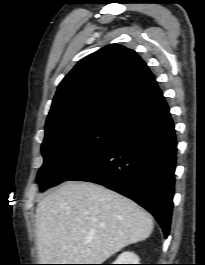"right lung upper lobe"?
Instances as JSON below:
<instances>
[{
  "label": "right lung upper lobe",
  "mask_w": 205,
  "mask_h": 265,
  "mask_svg": "<svg viewBox=\"0 0 205 265\" xmlns=\"http://www.w3.org/2000/svg\"><path fill=\"white\" fill-rule=\"evenodd\" d=\"M161 97L140 56L122 45H108L79 61L59 84L45 133L97 122L122 125Z\"/></svg>",
  "instance_id": "cb5924a9"
}]
</instances>
